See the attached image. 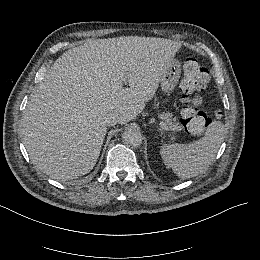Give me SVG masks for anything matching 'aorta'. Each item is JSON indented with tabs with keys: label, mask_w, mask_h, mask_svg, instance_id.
Here are the masks:
<instances>
[{
	"label": "aorta",
	"mask_w": 260,
	"mask_h": 260,
	"mask_svg": "<svg viewBox=\"0 0 260 260\" xmlns=\"http://www.w3.org/2000/svg\"><path fill=\"white\" fill-rule=\"evenodd\" d=\"M122 141L128 146L138 147L142 144V135L138 130L129 128L122 134Z\"/></svg>",
	"instance_id": "1"
}]
</instances>
